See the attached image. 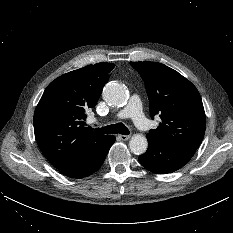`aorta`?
<instances>
[{
  "mask_svg": "<svg viewBox=\"0 0 233 233\" xmlns=\"http://www.w3.org/2000/svg\"><path fill=\"white\" fill-rule=\"evenodd\" d=\"M102 96L105 102L112 106H123L128 100L126 88L117 82L107 83L103 89ZM129 147L132 153L141 155L147 150V138L142 134H134L129 141Z\"/></svg>",
  "mask_w": 233,
  "mask_h": 233,
  "instance_id": "1",
  "label": "aorta"
}]
</instances>
